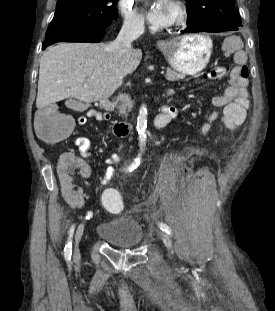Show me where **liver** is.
Returning <instances> with one entry per match:
<instances>
[{
    "mask_svg": "<svg viewBox=\"0 0 275 311\" xmlns=\"http://www.w3.org/2000/svg\"><path fill=\"white\" fill-rule=\"evenodd\" d=\"M106 43H60L40 60L36 106L74 97L91 103L107 99L133 73L142 59L140 49L117 56ZM94 76V78H92Z\"/></svg>",
    "mask_w": 275,
    "mask_h": 311,
    "instance_id": "liver-1",
    "label": "liver"
}]
</instances>
